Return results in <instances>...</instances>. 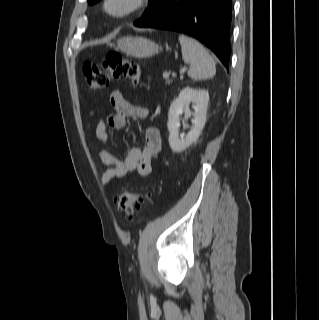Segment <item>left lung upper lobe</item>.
<instances>
[{
  "mask_svg": "<svg viewBox=\"0 0 319 320\" xmlns=\"http://www.w3.org/2000/svg\"><path fill=\"white\" fill-rule=\"evenodd\" d=\"M100 0H88L89 4H95L99 2ZM163 0H149V8L145 10V13L143 16L147 15L151 10L157 7V5Z\"/></svg>",
  "mask_w": 319,
  "mask_h": 320,
  "instance_id": "left-lung-upper-lobe-1",
  "label": "left lung upper lobe"
}]
</instances>
